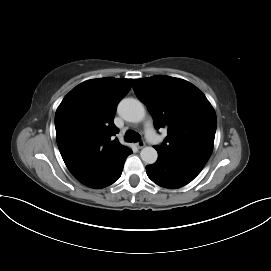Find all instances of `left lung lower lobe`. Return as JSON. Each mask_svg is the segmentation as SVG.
<instances>
[{
    "label": "left lung lower lobe",
    "instance_id": "obj_1",
    "mask_svg": "<svg viewBox=\"0 0 271 271\" xmlns=\"http://www.w3.org/2000/svg\"><path fill=\"white\" fill-rule=\"evenodd\" d=\"M156 150L158 160L155 164L147 165L146 171L148 177L161 187L180 188L191 182L205 165L192 159L172 156L162 150Z\"/></svg>",
    "mask_w": 271,
    "mask_h": 271
}]
</instances>
